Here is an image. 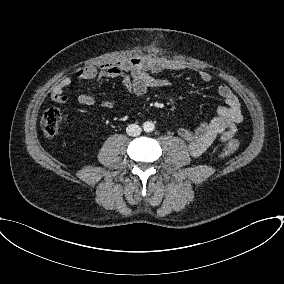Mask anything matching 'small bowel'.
Masks as SVG:
<instances>
[{"mask_svg": "<svg viewBox=\"0 0 284 284\" xmlns=\"http://www.w3.org/2000/svg\"><path fill=\"white\" fill-rule=\"evenodd\" d=\"M181 69L180 65L158 57H139L116 63H106L96 66H84L76 71V78L80 80L103 81L120 77L122 84L129 94L141 96L150 88H163L171 85L164 78H157L150 73H160ZM204 83H211L213 76L207 72L199 74ZM72 83L70 76L63 77L51 88V99L61 105L69 102L64 95L65 89ZM218 95L223 99L224 105L217 107L215 116L196 128L182 127L178 130L179 136L187 143L190 154L199 157L216 141H230L237 132V126L243 120L241 103L233 91L225 84L217 87ZM78 103L90 106L95 103L91 94H81ZM113 101L105 100L104 108H111Z\"/></svg>", "mask_w": 284, "mask_h": 284, "instance_id": "c3829d8e", "label": "small bowel"}]
</instances>
